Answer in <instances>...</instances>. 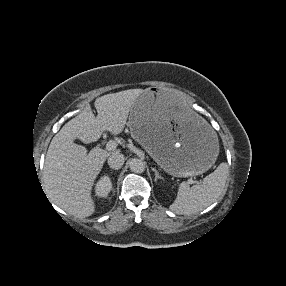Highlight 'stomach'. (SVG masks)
<instances>
[{
	"label": "stomach",
	"instance_id": "1",
	"mask_svg": "<svg viewBox=\"0 0 286 286\" xmlns=\"http://www.w3.org/2000/svg\"><path fill=\"white\" fill-rule=\"evenodd\" d=\"M128 126L133 138L173 176L200 175L217 159L215 129L172 90H143L131 108Z\"/></svg>",
	"mask_w": 286,
	"mask_h": 286
}]
</instances>
